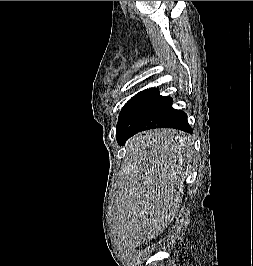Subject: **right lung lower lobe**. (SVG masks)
I'll return each mask as SVG.
<instances>
[{
    "label": "right lung lower lobe",
    "mask_w": 253,
    "mask_h": 266,
    "mask_svg": "<svg viewBox=\"0 0 253 266\" xmlns=\"http://www.w3.org/2000/svg\"><path fill=\"white\" fill-rule=\"evenodd\" d=\"M174 128L192 133V129L187 121V115L183 111L170 108V111L163 120L152 126H144L131 129L125 124L118 123L116 128V139L119 144H124L128 138L137 132L152 128Z\"/></svg>",
    "instance_id": "right-lung-lower-lobe-1"
}]
</instances>
